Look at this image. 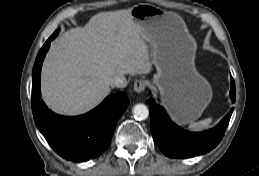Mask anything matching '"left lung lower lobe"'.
I'll use <instances>...</instances> for the list:
<instances>
[{"instance_id":"obj_1","label":"left lung lower lobe","mask_w":259,"mask_h":176,"mask_svg":"<svg viewBox=\"0 0 259 176\" xmlns=\"http://www.w3.org/2000/svg\"><path fill=\"white\" fill-rule=\"evenodd\" d=\"M230 97L236 98L235 82L231 79ZM150 108L151 132L160 150L171 158H190L205 154L215 148L224 136L233 108L214 128L203 132H189L172 122L163 107L153 99L147 101Z\"/></svg>"}]
</instances>
